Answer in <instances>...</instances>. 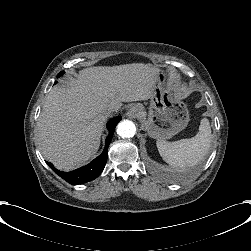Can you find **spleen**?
Returning <instances> with one entry per match:
<instances>
[{"mask_svg":"<svg viewBox=\"0 0 251 251\" xmlns=\"http://www.w3.org/2000/svg\"><path fill=\"white\" fill-rule=\"evenodd\" d=\"M211 124L207 117H202L198 133L187 140L156 142L159 154L170 166L180 169L193 168L199 164L208 153L212 143Z\"/></svg>","mask_w":251,"mask_h":251,"instance_id":"3e777b00","label":"spleen"}]
</instances>
